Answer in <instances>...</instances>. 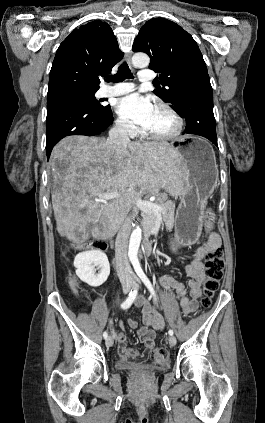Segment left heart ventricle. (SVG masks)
Instances as JSON below:
<instances>
[{"instance_id":"b2bd125f","label":"left heart ventricle","mask_w":265,"mask_h":423,"mask_svg":"<svg viewBox=\"0 0 265 423\" xmlns=\"http://www.w3.org/2000/svg\"><path fill=\"white\" fill-rule=\"evenodd\" d=\"M176 127L174 119L160 108L155 109V112L146 126V129L160 134L172 132Z\"/></svg>"}]
</instances>
